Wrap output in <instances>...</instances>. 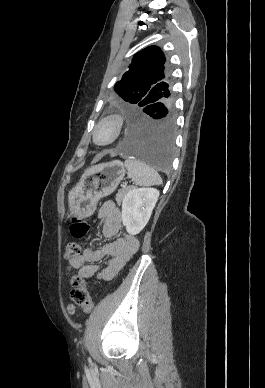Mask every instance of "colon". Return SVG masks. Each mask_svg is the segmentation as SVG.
<instances>
[{"label": "colon", "mask_w": 265, "mask_h": 388, "mask_svg": "<svg viewBox=\"0 0 265 388\" xmlns=\"http://www.w3.org/2000/svg\"><path fill=\"white\" fill-rule=\"evenodd\" d=\"M89 224L81 219L74 217L70 225V233L75 238H82L89 232ZM81 247L77 243H69L65 249V258L72 260L80 255ZM71 300L84 312H90L93 308V301L89 291L86 288L85 280L81 276H76L72 281L70 292Z\"/></svg>", "instance_id": "colon-1"}]
</instances>
